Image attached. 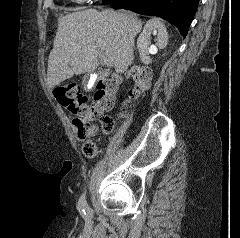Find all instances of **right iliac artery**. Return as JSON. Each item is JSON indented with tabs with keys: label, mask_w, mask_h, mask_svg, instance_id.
<instances>
[{
	"label": "right iliac artery",
	"mask_w": 240,
	"mask_h": 238,
	"mask_svg": "<svg viewBox=\"0 0 240 238\" xmlns=\"http://www.w3.org/2000/svg\"><path fill=\"white\" fill-rule=\"evenodd\" d=\"M85 198H86V197H85V194H83V195L80 197V199H79V204H80L82 207H86V206H87ZM82 212H83L84 214H86L84 209H82Z\"/></svg>",
	"instance_id": "obj_1"
}]
</instances>
